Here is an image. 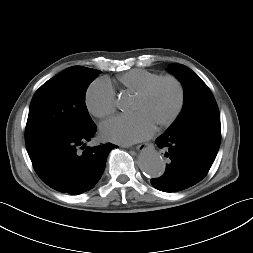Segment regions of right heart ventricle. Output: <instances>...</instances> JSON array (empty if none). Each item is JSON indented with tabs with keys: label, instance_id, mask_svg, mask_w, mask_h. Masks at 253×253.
Masks as SVG:
<instances>
[{
	"label": "right heart ventricle",
	"instance_id": "right-heart-ventricle-1",
	"mask_svg": "<svg viewBox=\"0 0 253 253\" xmlns=\"http://www.w3.org/2000/svg\"><path fill=\"white\" fill-rule=\"evenodd\" d=\"M160 76V74L145 69H133L118 76L117 82L124 90L137 93L149 82Z\"/></svg>",
	"mask_w": 253,
	"mask_h": 253
}]
</instances>
